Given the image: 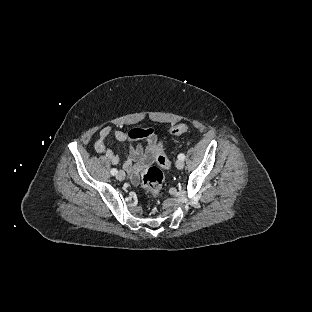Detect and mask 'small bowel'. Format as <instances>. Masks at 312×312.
<instances>
[{"label":"small bowel","mask_w":312,"mask_h":312,"mask_svg":"<svg viewBox=\"0 0 312 312\" xmlns=\"http://www.w3.org/2000/svg\"><path fill=\"white\" fill-rule=\"evenodd\" d=\"M141 129L143 128H135L128 132L122 130L113 131L111 126H104L100 129L99 137L94 144L96 152L103 154L110 163L123 167L134 185L139 184L141 172L157 158L155 154L156 134L146 128L149 134L143 137L140 134ZM111 134L117 141L130 144L128 157L123 161L106 145V139Z\"/></svg>","instance_id":"1"}]
</instances>
